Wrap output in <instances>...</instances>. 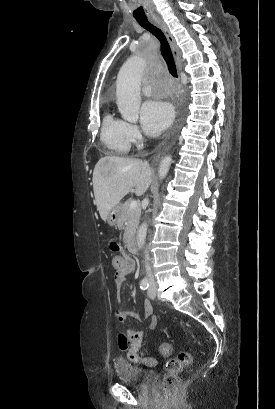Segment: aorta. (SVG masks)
Returning <instances> with one entry per match:
<instances>
[{
    "label": "aorta",
    "instance_id": "762f6f07",
    "mask_svg": "<svg viewBox=\"0 0 275 409\" xmlns=\"http://www.w3.org/2000/svg\"><path fill=\"white\" fill-rule=\"evenodd\" d=\"M143 54L135 52L134 56L127 58L122 64L116 80V98L118 110L129 122H137L139 118V108L141 104L140 82L143 72ZM172 162L171 156H164L159 164V176H166ZM147 235V225L142 223L137 231L138 249H143Z\"/></svg>",
    "mask_w": 275,
    "mask_h": 409
}]
</instances>
